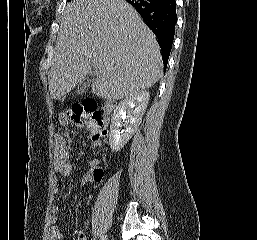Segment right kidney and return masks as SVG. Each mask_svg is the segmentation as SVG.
<instances>
[{
	"label": "right kidney",
	"mask_w": 257,
	"mask_h": 240,
	"mask_svg": "<svg viewBox=\"0 0 257 240\" xmlns=\"http://www.w3.org/2000/svg\"><path fill=\"white\" fill-rule=\"evenodd\" d=\"M149 98L148 91H139L128 96L115 108L109 131V144L112 150L120 151L137 131ZM122 123L124 130H121Z\"/></svg>",
	"instance_id": "obj_1"
}]
</instances>
